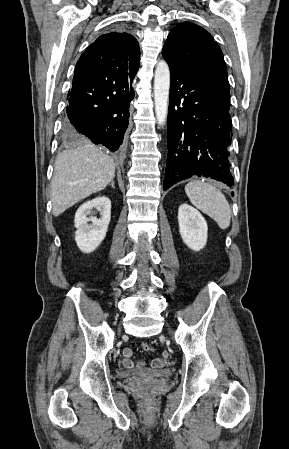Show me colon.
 <instances>
[{
	"mask_svg": "<svg viewBox=\"0 0 289 449\" xmlns=\"http://www.w3.org/2000/svg\"><path fill=\"white\" fill-rule=\"evenodd\" d=\"M142 348H143L144 351H147V352L153 350L152 346L150 344H148V343H143L142 344Z\"/></svg>",
	"mask_w": 289,
	"mask_h": 449,
	"instance_id": "obj_1",
	"label": "colon"
}]
</instances>
